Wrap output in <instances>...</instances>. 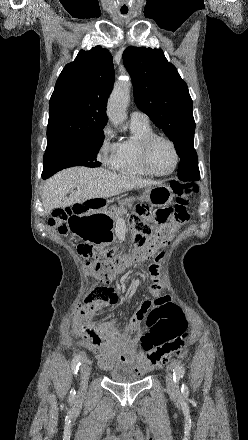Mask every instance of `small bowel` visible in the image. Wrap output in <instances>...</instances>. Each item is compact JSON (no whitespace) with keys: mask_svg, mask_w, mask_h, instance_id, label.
<instances>
[{"mask_svg":"<svg viewBox=\"0 0 248 440\" xmlns=\"http://www.w3.org/2000/svg\"><path fill=\"white\" fill-rule=\"evenodd\" d=\"M160 262L158 258L149 262L150 273L153 277L151 294L156 297L155 301L158 304L163 303V301L165 303L171 301L169 296L163 297L160 295L161 285L164 281L163 277L159 276ZM112 290L114 291L112 299H99L90 307H82L75 316L73 334L80 338L76 346L90 350L103 369L125 365L135 371L146 372L154 364L151 362L148 353L140 351L138 346L143 337L142 323L148 312L153 308L154 300L144 301L122 329L117 327L115 320L95 323L93 318L97 313L105 310L110 305L118 303V294L114 289Z\"/></svg>","mask_w":248,"mask_h":440,"instance_id":"1","label":"small bowel"}]
</instances>
